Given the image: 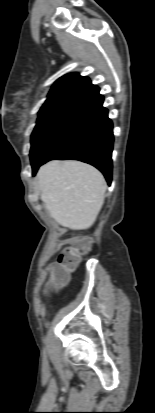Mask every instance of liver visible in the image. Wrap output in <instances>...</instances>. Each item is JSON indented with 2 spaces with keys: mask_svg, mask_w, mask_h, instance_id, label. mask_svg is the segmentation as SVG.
Returning a JSON list of instances; mask_svg holds the SVG:
<instances>
[{
  "mask_svg": "<svg viewBox=\"0 0 155 413\" xmlns=\"http://www.w3.org/2000/svg\"><path fill=\"white\" fill-rule=\"evenodd\" d=\"M37 180L41 200L58 224L72 230L94 224L107 188L96 168L75 160H53L39 169Z\"/></svg>",
  "mask_w": 155,
  "mask_h": 413,
  "instance_id": "6515ba94",
  "label": "liver"
}]
</instances>
